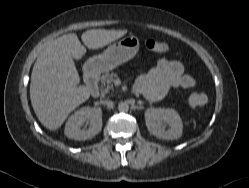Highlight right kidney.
Here are the masks:
<instances>
[{"label": "right kidney", "instance_id": "obj_1", "mask_svg": "<svg viewBox=\"0 0 249 188\" xmlns=\"http://www.w3.org/2000/svg\"><path fill=\"white\" fill-rule=\"evenodd\" d=\"M86 120H90V126L81 129ZM101 129V108L83 107L69 117L65 125V135L74 140H87L97 135Z\"/></svg>", "mask_w": 249, "mask_h": 188}]
</instances>
